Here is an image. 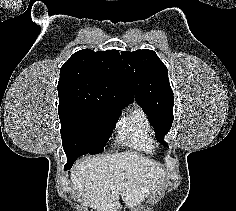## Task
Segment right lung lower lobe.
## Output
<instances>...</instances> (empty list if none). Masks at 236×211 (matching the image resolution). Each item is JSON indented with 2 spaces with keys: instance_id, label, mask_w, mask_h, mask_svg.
Masks as SVG:
<instances>
[{
  "instance_id": "obj_1",
  "label": "right lung lower lobe",
  "mask_w": 236,
  "mask_h": 211,
  "mask_svg": "<svg viewBox=\"0 0 236 211\" xmlns=\"http://www.w3.org/2000/svg\"><path fill=\"white\" fill-rule=\"evenodd\" d=\"M79 156H81V155L68 158V163L65 165L64 170L70 169V168L72 167L74 161H75Z\"/></svg>"
}]
</instances>
